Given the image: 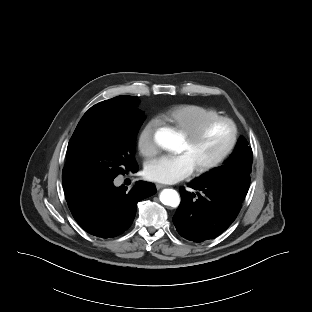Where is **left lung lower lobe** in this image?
I'll use <instances>...</instances> for the list:
<instances>
[{
	"label": "left lung lower lobe",
	"mask_w": 312,
	"mask_h": 312,
	"mask_svg": "<svg viewBox=\"0 0 312 312\" xmlns=\"http://www.w3.org/2000/svg\"><path fill=\"white\" fill-rule=\"evenodd\" d=\"M188 186L198 192L180 188L181 203L173 217L178 233L194 242L219 236L236 219L244 198L218 182L196 179Z\"/></svg>",
	"instance_id": "1"
}]
</instances>
